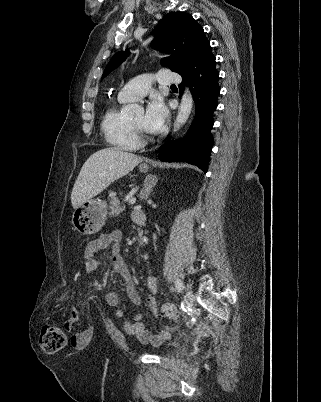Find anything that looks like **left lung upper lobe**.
Listing matches in <instances>:
<instances>
[{
	"label": "left lung upper lobe",
	"instance_id": "left-lung-upper-lobe-1",
	"mask_svg": "<svg viewBox=\"0 0 321 402\" xmlns=\"http://www.w3.org/2000/svg\"><path fill=\"white\" fill-rule=\"evenodd\" d=\"M155 37L151 47L171 54L162 60V65L176 73H182L196 51L208 41L200 24L190 14L172 12L161 19L152 32ZM129 55V50L117 52L107 64L102 78L120 65Z\"/></svg>",
	"mask_w": 321,
	"mask_h": 402
}]
</instances>
